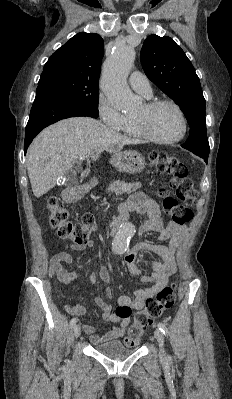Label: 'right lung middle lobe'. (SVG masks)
Segmentation results:
<instances>
[{
	"label": "right lung middle lobe",
	"instance_id": "1",
	"mask_svg": "<svg viewBox=\"0 0 232 399\" xmlns=\"http://www.w3.org/2000/svg\"><path fill=\"white\" fill-rule=\"evenodd\" d=\"M98 84L81 83L67 78L39 80L36 93H48L77 103L98 113Z\"/></svg>",
	"mask_w": 232,
	"mask_h": 399
}]
</instances>
